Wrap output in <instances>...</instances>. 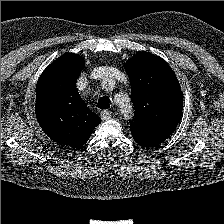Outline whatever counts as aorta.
Wrapping results in <instances>:
<instances>
[{"label":"aorta","instance_id":"aorta-1","mask_svg":"<svg viewBox=\"0 0 224 224\" xmlns=\"http://www.w3.org/2000/svg\"><path fill=\"white\" fill-rule=\"evenodd\" d=\"M122 109H123V112H124V116H125L126 118H130V117H132V115H133V110H132V106H131L130 104H128V105H124V106L122 107Z\"/></svg>","mask_w":224,"mask_h":224}]
</instances>
